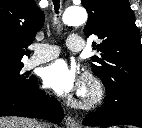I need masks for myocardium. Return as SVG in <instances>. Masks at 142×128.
Masks as SVG:
<instances>
[{"label": "myocardium", "mask_w": 142, "mask_h": 128, "mask_svg": "<svg viewBox=\"0 0 142 128\" xmlns=\"http://www.w3.org/2000/svg\"><path fill=\"white\" fill-rule=\"evenodd\" d=\"M105 96V88L101 80L92 73L83 75L82 83L72 104L78 108L91 109L99 105Z\"/></svg>", "instance_id": "f54148a6"}]
</instances>
